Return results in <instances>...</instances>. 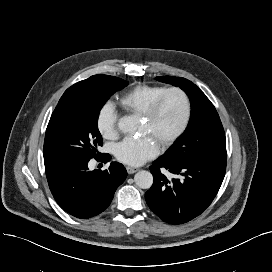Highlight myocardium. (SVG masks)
Returning a JSON list of instances; mask_svg holds the SVG:
<instances>
[{
    "instance_id": "1",
    "label": "myocardium",
    "mask_w": 272,
    "mask_h": 272,
    "mask_svg": "<svg viewBox=\"0 0 272 272\" xmlns=\"http://www.w3.org/2000/svg\"><path fill=\"white\" fill-rule=\"evenodd\" d=\"M172 93L178 94L181 97L184 105V113L180 125L161 144V147L163 149L172 145L188 127L192 112L191 100L189 95L185 90L180 87H169L154 99V101L150 104L149 108L143 114V117L145 119L149 121L153 120L157 116L166 97Z\"/></svg>"
}]
</instances>
